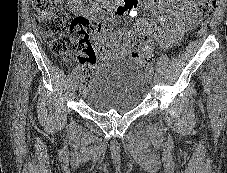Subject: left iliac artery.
Instances as JSON below:
<instances>
[{
  "mask_svg": "<svg viewBox=\"0 0 227 173\" xmlns=\"http://www.w3.org/2000/svg\"><path fill=\"white\" fill-rule=\"evenodd\" d=\"M146 70L149 71V72H151V73H153L154 72V67L152 65H148L146 67Z\"/></svg>",
  "mask_w": 227,
  "mask_h": 173,
  "instance_id": "left-iliac-artery-1",
  "label": "left iliac artery"
}]
</instances>
